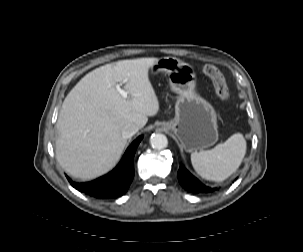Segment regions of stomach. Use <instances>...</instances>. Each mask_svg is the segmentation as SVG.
I'll return each instance as SVG.
<instances>
[{
	"label": "stomach",
	"mask_w": 303,
	"mask_h": 252,
	"mask_svg": "<svg viewBox=\"0 0 303 252\" xmlns=\"http://www.w3.org/2000/svg\"><path fill=\"white\" fill-rule=\"evenodd\" d=\"M163 72L171 90L176 93L175 117L162 127L170 130L186 152L203 150L218 140L217 115L213 106L195 91L194 68L176 57H162L151 67Z\"/></svg>",
	"instance_id": "obj_1"
}]
</instances>
